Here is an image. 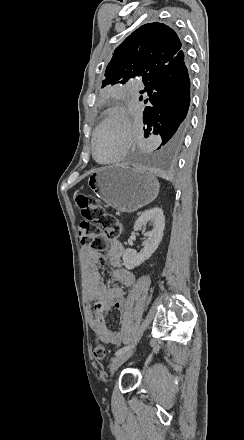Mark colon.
Listing matches in <instances>:
<instances>
[{"instance_id":"colon-1","label":"colon","mask_w":244,"mask_h":440,"mask_svg":"<svg viewBox=\"0 0 244 440\" xmlns=\"http://www.w3.org/2000/svg\"><path fill=\"white\" fill-rule=\"evenodd\" d=\"M76 203L80 214L85 221L79 224V235L86 247L103 252L115 236V231L120 230L121 223L113 214L106 213L96 199L85 194L76 197ZM103 258H100V262ZM101 310V306H97ZM94 359L103 360L106 356V349L102 342L95 340L92 345Z\"/></svg>"}]
</instances>
